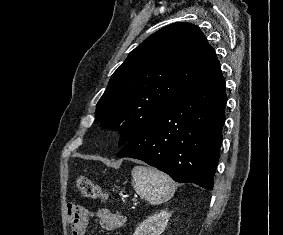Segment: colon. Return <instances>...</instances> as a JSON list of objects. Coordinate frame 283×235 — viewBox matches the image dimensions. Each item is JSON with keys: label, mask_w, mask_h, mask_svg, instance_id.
Returning a JSON list of instances; mask_svg holds the SVG:
<instances>
[{"label": "colon", "mask_w": 283, "mask_h": 235, "mask_svg": "<svg viewBox=\"0 0 283 235\" xmlns=\"http://www.w3.org/2000/svg\"><path fill=\"white\" fill-rule=\"evenodd\" d=\"M80 192L88 198L106 200L107 193L101 189L93 180L85 175H79L76 180Z\"/></svg>", "instance_id": "5ec220e1"}]
</instances>
